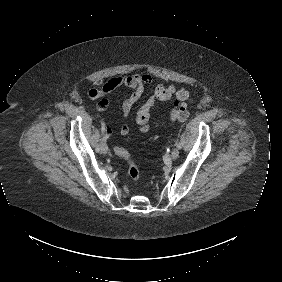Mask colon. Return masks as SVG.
<instances>
[{"instance_id":"obj_1","label":"colon","mask_w":282,"mask_h":282,"mask_svg":"<svg viewBox=\"0 0 282 282\" xmlns=\"http://www.w3.org/2000/svg\"><path fill=\"white\" fill-rule=\"evenodd\" d=\"M172 119L183 121L187 118V110L184 107H176L172 110ZM114 154L124 159L128 164V175L131 180L137 181L140 179L141 173L139 166L135 159L133 158L131 152L123 147L114 148Z\"/></svg>"}]
</instances>
